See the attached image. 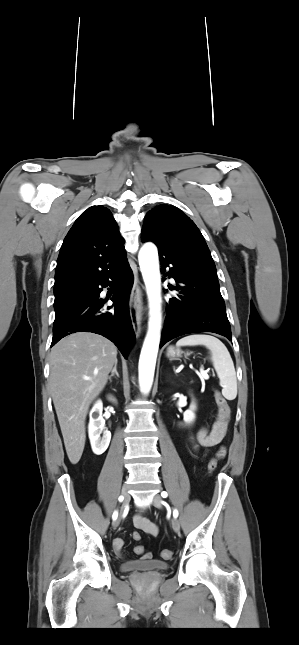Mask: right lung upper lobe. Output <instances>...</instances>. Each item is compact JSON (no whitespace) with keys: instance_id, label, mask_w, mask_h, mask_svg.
Masks as SVG:
<instances>
[{"instance_id":"1","label":"right lung upper lobe","mask_w":299,"mask_h":645,"mask_svg":"<svg viewBox=\"0 0 299 645\" xmlns=\"http://www.w3.org/2000/svg\"><path fill=\"white\" fill-rule=\"evenodd\" d=\"M125 260L124 239L110 210L92 206L78 217L63 241L54 291L88 284L114 271Z\"/></svg>"}]
</instances>
